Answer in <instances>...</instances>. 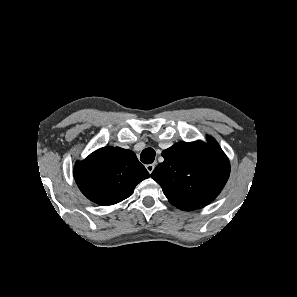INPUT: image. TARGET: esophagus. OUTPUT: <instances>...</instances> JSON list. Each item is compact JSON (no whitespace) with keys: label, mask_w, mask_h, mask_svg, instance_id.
Returning <instances> with one entry per match:
<instances>
[{"label":"esophagus","mask_w":297,"mask_h":297,"mask_svg":"<svg viewBox=\"0 0 297 297\" xmlns=\"http://www.w3.org/2000/svg\"><path fill=\"white\" fill-rule=\"evenodd\" d=\"M154 168H155V165L154 164H148V165H146V169L149 172V174H151L153 172Z\"/></svg>","instance_id":"1"}]
</instances>
